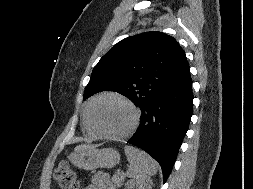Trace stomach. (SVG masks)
<instances>
[{"label": "stomach", "instance_id": "0dacf381", "mask_svg": "<svg viewBox=\"0 0 253 189\" xmlns=\"http://www.w3.org/2000/svg\"><path fill=\"white\" fill-rule=\"evenodd\" d=\"M70 162L81 169L112 168L119 164L120 154L113 148H86L74 151L69 156Z\"/></svg>", "mask_w": 253, "mask_h": 189}]
</instances>
